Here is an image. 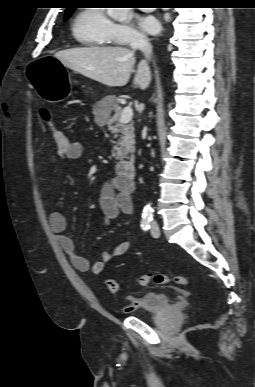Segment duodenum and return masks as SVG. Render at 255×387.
<instances>
[{
	"mask_svg": "<svg viewBox=\"0 0 255 387\" xmlns=\"http://www.w3.org/2000/svg\"><path fill=\"white\" fill-rule=\"evenodd\" d=\"M116 172L122 180L132 184L136 176L135 161L132 158L119 161L116 165Z\"/></svg>",
	"mask_w": 255,
	"mask_h": 387,
	"instance_id": "410a0bca",
	"label": "duodenum"
}]
</instances>
